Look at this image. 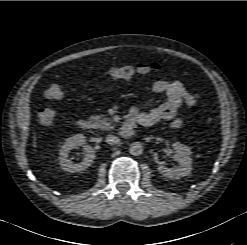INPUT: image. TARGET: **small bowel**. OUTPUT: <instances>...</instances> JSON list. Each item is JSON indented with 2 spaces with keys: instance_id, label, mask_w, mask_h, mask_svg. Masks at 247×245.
Masks as SVG:
<instances>
[{
  "instance_id": "obj_1",
  "label": "small bowel",
  "mask_w": 247,
  "mask_h": 245,
  "mask_svg": "<svg viewBox=\"0 0 247 245\" xmlns=\"http://www.w3.org/2000/svg\"><path fill=\"white\" fill-rule=\"evenodd\" d=\"M153 91L166 95L167 100L148 111L132 109L131 114L135 115L143 126H151L160 121H173L182 107H193L197 104L195 95L177 80H158L153 84Z\"/></svg>"
}]
</instances>
